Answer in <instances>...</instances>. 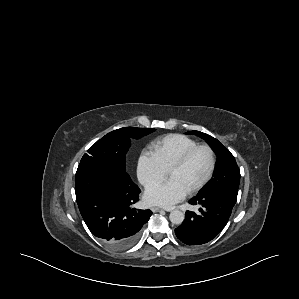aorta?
<instances>
[{"mask_svg": "<svg viewBox=\"0 0 299 299\" xmlns=\"http://www.w3.org/2000/svg\"><path fill=\"white\" fill-rule=\"evenodd\" d=\"M185 215L180 210H174L170 213L169 219L173 224L180 225L184 221Z\"/></svg>", "mask_w": 299, "mask_h": 299, "instance_id": "1", "label": "aorta"}]
</instances>
